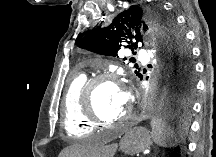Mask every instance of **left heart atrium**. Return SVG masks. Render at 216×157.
Here are the masks:
<instances>
[{"mask_svg": "<svg viewBox=\"0 0 216 157\" xmlns=\"http://www.w3.org/2000/svg\"><path fill=\"white\" fill-rule=\"evenodd\" d=\"M119 100L122 105H128L130 101L129 93L119 89Z\"/></svg>", "mask_w": 216, "mask_h": 157, "instance_id": "obj_1", "label": "left heart atrium"}]
</instances>
